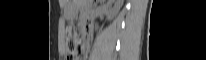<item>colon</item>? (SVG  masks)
Instances as JSON below:
<instances>
[{
    "instance_id": "5ec220e1",
    "label": "colon",
    "mask_w": 206,
    "mask_h": 60,
    "mask_svg": "<svg viewBox=\"0 0 206 60\" xmlns=\"http://www.w3.org/2000/svg\"><path fill=\"white\" fill-rule=\"evenodd\" d=\"M66 41L68 46L67 57L69 60H74L79 44L77 40L76 26L73 23H68L66 26Z\"/></svg>"
}]
</instances>
